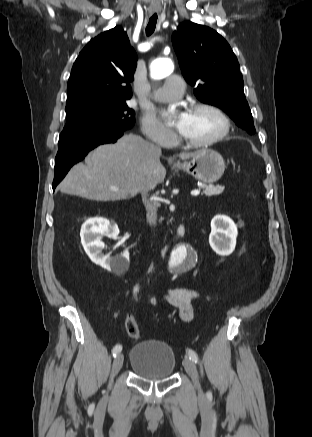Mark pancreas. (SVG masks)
<instances>
[{
  "label": "pancreas",
  "instance_id": "cf45deb5",
  "mask_svg": "<svg viewBox=\"0 0 312 437\" xmlns=\"http://www.w3.org/2000/svg\"><path fill=\"white\" fill-rule=\"evenodd\" d=\"M203 194L206 196L219 195L223 192L224 186H214V185H202Z\"/></svg>",
  "mask_w": 312,
  "mask_h": 437
}]
</instances>
